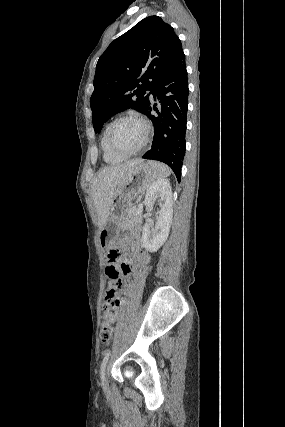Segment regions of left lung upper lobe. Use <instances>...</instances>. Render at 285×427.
<instances>
[{
    "instance_id": "1",
    "label": "left lung upper lobe",
    "mask_w": 285,
    "mask_h": 427,
    "mask_svg": "<svg viewBox=\"0 0 285 427\" xmlns=\"http://www.w3.org/2000/svg\"><path fill=\"white\" fill-rule=\"evenodd\" d=\"M181 51L174 29L158 16L141 20L115 39L96 65L90 99L95 132L129 107L144 114L154 87Z\"/></svg>"
}]
</instances>
